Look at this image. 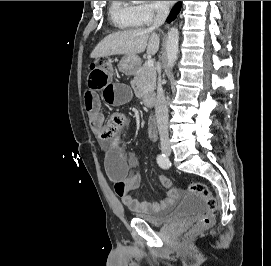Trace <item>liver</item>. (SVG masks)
<instances>
[{
	"instance_id": "1",
	"label": "liver",
	"mask_w": 271,
	"mask_h": 266,
	"mask_svg": "<svg viewBox=\"0 0 271 266\" xmlns=\"http://www.w3.org/2000/svg\"><path fill=\"white\" fill-rule=\"evenodd\" d=\"M160 37L149 29L136 28L106 36L92 51L91 58L111 55H136L147 48L148 55L157 53Z\"/></svg>"
}]
</instances>
